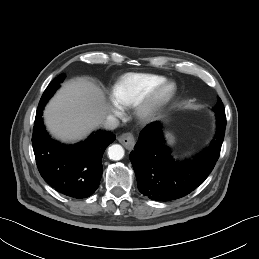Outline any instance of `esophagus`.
I'll use <instances>...</instances> for the list:
<instances>
[{
  "instance_id": "1",
  "label": "esophagus",
  "mask_w": 259,
  "mask_h": 259,
  "mask_svg": "<svg viewBox=\"0 0 259 259\" xmlns=\"http://www.w3.org/2000/svg\"><path fill=\"white\" fill-rule=\"evenodd\" d=\"M118 140L128 150L133 149L135 145V137L131 133H123L118 137Z\"/></svg>"
}]
</instances>
